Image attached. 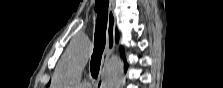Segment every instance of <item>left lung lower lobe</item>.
I'll return each mask as SVG.
<instances>
[{"mask_svg":"<svg viewBox=\"0 0 223 88\" xmlns=\"http://www.w3.org/2000/svg\"><path fill=\"white\" fill-rule=\"evenodd\" d=\"M127 70V64H125V71Z\"/></svg>","mask_w":223,"mask_h":88,"instance_id":"0a47b994","label":"left lung lower lobe"}]
</instances>
